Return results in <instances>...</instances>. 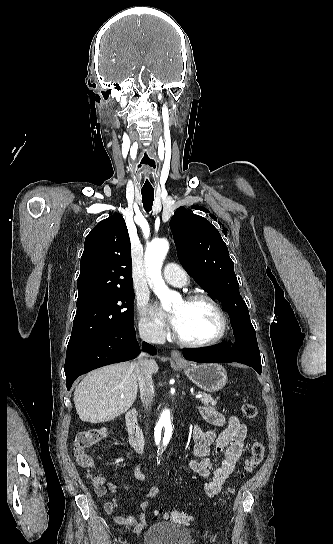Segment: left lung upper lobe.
Returning a JSON list of instances; mask_svg holds the SVG:
<instances>
[{
	"label": "left lung upper lobe",
	"instance_id": "1",
	"mask_svg": "<svg viewBox=\"0 0 333 544\" xmlns=\"http://www.w3.org/2000/svg\"><path fill=\"white\" fill-rule=\"evenodd\" d=\"M178 257L193 279L215 298L224 301L231 321L249 320L247 305L228 248L219 231L205 218L180 207L170 221Z\"/></svg>",
	"mask_w": 333,
	"mask_h": 544
}]
</instances>
